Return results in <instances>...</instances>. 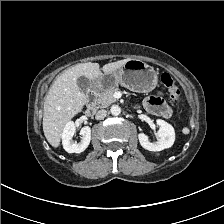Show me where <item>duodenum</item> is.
I'll return each mask as SVG.
<instances>
[{"mask_svg":"<svg viewBox=\"0 0 224 224\" xmlns=\"http://www.w3.org/2000/svg\"><path fill=\"white\" fill-rule=\"evenodd\" d=\"M95 96H96V91L94 89H91L88 92V102H87V104L85 106V109H84V115L85 116H91L93 114Z\"/></svg>","mask_w":224,"mask_h":224,"instance_id":"duodenum-1","label":"duodenum"}]
</instances>
